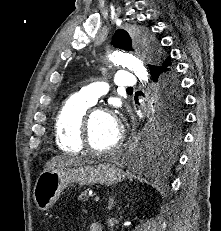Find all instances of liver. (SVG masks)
<instances>
[{"label": "liver", "mask_w": 221, "mask_h": 231, "mask_svg": "<svg viewBox=\"0 0 221 231\" xmlns=\"http://www.w3.org/2000/svg\"><path fill=\"white\" fill-rule=\"evenodd\" d=\"M94 161L76 156H56L49 160L44 171H51L55 168L72 167L81 164H92Z\"/></svg>", "instance_id": "obj_1"}]
</instances>
